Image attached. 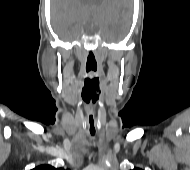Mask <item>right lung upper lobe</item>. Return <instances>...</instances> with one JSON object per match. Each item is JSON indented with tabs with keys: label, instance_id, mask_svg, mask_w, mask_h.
I'll return each mask as SVG.
<instances>
[{
	"label": "right lung upper lobe",
	"instance_id": "obj_1",
	"mask_svg": "<svg viewBox=\"0 0 190 170\" xmlns=\"http://www.w3.org/2000/svg\"><path fill=\"white\" fill-rule=\"evenodd\" d=\"M32 170H64V169L63 168H55L51 165H40V166L35 167Z\"/></svg>",
	"mask_w": 190,
	"mask_h": 170
}]
</instances>
